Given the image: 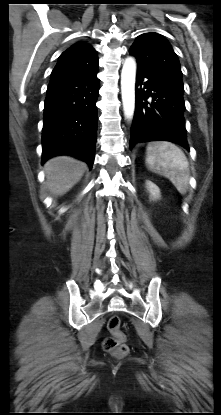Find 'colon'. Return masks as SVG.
Wrapping results in <instances>:
<instances>
[{"label": "colon", "instance_id": "obj_1", "mask_svg": "<svg viewBox=\"0 0 221 415\" xmlns=\"http://www.w3.org/2000/svg\"><path fill=\"white\" fill-rule=\"evenodd\" d=\"M121 321L118 316H111L107 321V329L110 336L104 340V349L115 357L121 358L127 355L128 346L123 343L124 335L120 331Z\"/></svg>", "mask_w": 221, "mask_h": 415}]
</instances>
